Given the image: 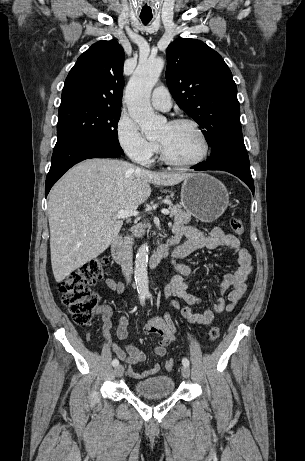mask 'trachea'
<instances>
[{"mask_svg":"<svg viewBox=\"0 0 305 461\" xmlns=\"http://www.w3.org/2000/svg\"><path fill=\"white\" fill-rule=\"evenodd\" d=\"M152 18H141L142 22L144 24H148L151 21Z\"/></svg>","mask_w":305,"mask_h":461,"instance_id":"trachea-1","label":"trachea"}]
</instances>
